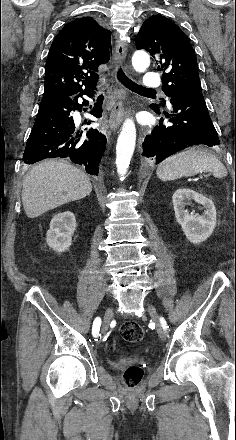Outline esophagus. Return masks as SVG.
I'll list each match as a JSON object with an SVG mask.
<instances>
[{
    "label": "esophagus",
    "mask_w": 236,
    "mask_h": 440,
    "mask_svg": "<svg viewBox=\"0 0 236 440\" xmlns=\"http://www.w3.org/2000/svg\"><path fill=\"white\" fill-rule=\"evenodd\" d=\"M127 55V43L119 38L116 42L115 47V53H114V59L117 64H122L125 62ZM124 99H125V92L122 88H120V91L118 92V101L113 107L110 119H109V126L112 130L117 129V127L121 124L124 114H125V106H124Z\"/></svg>",
    "instance_id": "1"
}]
</instances>
